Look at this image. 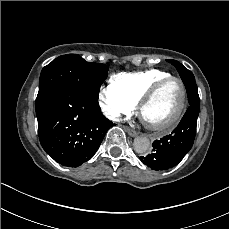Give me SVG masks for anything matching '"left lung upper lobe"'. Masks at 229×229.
<instances>
[{
  "label": "left lung upper lobe",
  "mask_w": 229,
  "mask_h": 229,
  "mask_svg": "<svg viewBox=\"0 0 229 229\" xmlns=\"http://www.w3.org/2000/svg\"><path fill=\"white\" fill-rule=\"evenodd\" d=\"M169 63L175 66L177 71L179 72L182 81L189 80L190 78L194 77L191 71H189L187 68H185L182 64H180L176 60H167Z\"/></svg>",
  "instance_id": "1"
}]
</instances>
